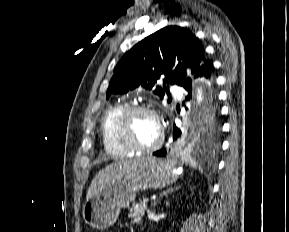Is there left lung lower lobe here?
I'll return each instance as SVG.
<instances>
[{"label": "left lung lower lobe", "mask_w": 289, "mask_h": 232, "mask_svg": "<svg viewBox=\"0 0 289 232\" xmlns=\"http://www.w3.org/2000/svg\"><path fill=\"white\" fill-rule=\"evenodd\" d=\"M213 63L212 61L204 58L200 67L198 68V70L196 71L195 73V77H204L206 79V81L208 82V84L210 85L211 88H213L214 86V75H213ZM185 90L188 92V96H187V99H190V96H191V88H192V84H191V80L189 82H187L184 86ZM215 115L217 114L218 115V110H213L209 113V115ZM208 117H204V119H202L201 121L203 120H206ZM181 135V131L176 128V126L174 125V128H173V139L174 140H177ZM181 148L184 149L186 147H184L183 145H181ZM154 156H157V157H162V156H165L166 155V149H161L159 151H156L153 153Z\"/></svg>", "instance_id": "1"}]
</instances>
